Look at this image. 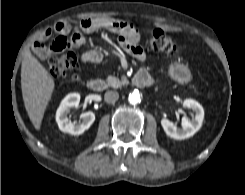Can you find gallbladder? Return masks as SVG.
<instances>
[{
	"instance_id": "gallbladder-1",
	"label": "gallbladder",
	"mask_w": 245,
	"mask_h": 195,
	"mask_svg": "<svg viewBox=\"0 0 245 195\" xmlns=\"http://www.w3.org/2000/svg\"><path fill=\"white\" fill-rule=\"evenodd\" d=\"M49 54V50L47 48H43L40 50V56L45 57Z\"/></svg>"
}]
</instances>
